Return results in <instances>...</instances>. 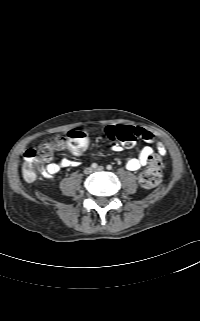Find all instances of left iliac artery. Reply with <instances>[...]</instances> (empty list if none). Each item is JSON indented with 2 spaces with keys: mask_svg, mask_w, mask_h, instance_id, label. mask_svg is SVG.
<instances>
[{
  "mask_svg": "<svg viewBox=\"0 0 200 321\" xmlns=\"http://www.w3.org/2000/svg\"><path fill=\"white\" fill-rule=\"evenodd\" d=\"M108 170H111L112 169V166L111 165H107L106 167Z\"/></svg>",
  "mask_w": 200,
  "mask_h": 321,
  "instance_id": "1",
  "label": "left iliac artery"
}]
</instances>
